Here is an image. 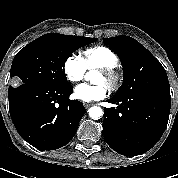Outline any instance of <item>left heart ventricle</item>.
Instances as JSON below:
<instances>
[{
  "label": "left heart ventricle",
  "mask_w": 178,
  "mask_h": 178,
  "mask_svg": "<svg viewBox=\"0 0 178 178\" xmlns=\"http://www.w3.org/2000/svg\"><path fill=\"white\" fill-rule=\"evenodd\" d=\"M94 82L98 83V84L99 83H103V84L107 85V79H106V77L102 73H100V72L96 75V77L94 79Z\"/></svg>",
  "instance_id": "left-heart-ventricle-1"
}]
</instances>
